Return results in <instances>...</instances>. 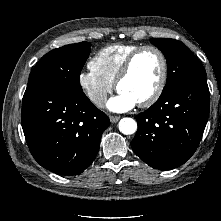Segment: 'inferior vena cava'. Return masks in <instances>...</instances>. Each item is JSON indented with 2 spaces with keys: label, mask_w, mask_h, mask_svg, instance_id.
Returning a JSON list of instances; mask_svg holds the SVG:
<instances>
[{
  "label": "inferior vena cava",
  "mask_w": 221,
  "mask_h": 221,
  "mask_svg": "<svg viewBox=\"0 0 221 221\" xmlns=\"http://www.w3.org/2000/svg\"><path fill=\"white\" fill-rule=\"evenodd\" d=\"M91 100L93 101V103H95L97 106H103L104 103L107 100V95L104 93H100V94H96L94 96L91 97Z\"/></svg>",
  "instance_id": "602c4592"
}]
</instances>
